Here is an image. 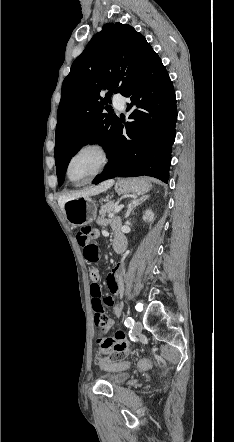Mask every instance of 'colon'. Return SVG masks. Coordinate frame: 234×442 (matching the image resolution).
Returning a JSON list of instances; mask_svg holds the SVG:
<instances>
[{
	"instance_id": "colon-1",
	"label": "colon",
	"mask_w": 234,
	"mask_h": 442,
	"mask_svg": "<svg viewBox=\"0 0 234 442\" xmlns=\"http://www.w3.org/2000/svg\"><path fill=\"white\" fill-rule=\"evenodd\" d=\"M93 229L90 227L82 228L76 235V239L78 244L83 247L84 256L89 262H96L99 258V249L98 246L91 242ZM100 274L97 268H92L90 270V279L92 280V306L95 314H106L105 309L108 307V299L107 297L102 296L101 288L97 283L99 280ZM122 360L115 359H97L95 364L100 366V369L103 371L110 370L113 371L115 368H127L128 363L122 362ZM118 362V363H114ZM151 365L149 359L147 357H143L140 362H138V366L141 368H147Z\"/></svg>"
}]
</instances>
